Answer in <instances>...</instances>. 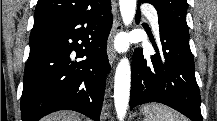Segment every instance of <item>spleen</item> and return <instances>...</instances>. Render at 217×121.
I'll use <instances>...</instances> for the list:
<instances>
[{"label": "spleen", "mask_w": 217, "mask_h": 121, "mask_svg": "<svg viewBox=\"0 0 217 121\" xmlns=\"http://www.w3.org/2000/svg\"><path fill=\"white\" fill-rule=\"evenodd\" d=\"M144 121H186L173 109L158 103H152L143 108Z\"/></svg>", "instance_id": "3e777b00"}]
</instances>
